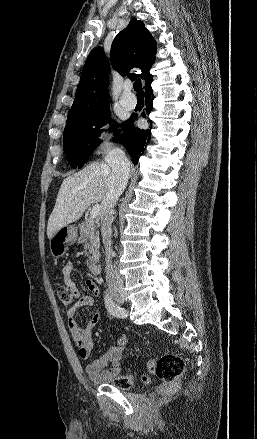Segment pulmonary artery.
<instances>
[{
  "label": "pulmonary artery",
  "instance_id": "1",
  "mask_svg": "<svg viewBox=\"0 0 257 439\" xmlns=\"http://www.w3.org/2000/svg\"><path fill=\"white\" fill-rule=\"evenodd\" d=\"M119 102L127 109H133L136 106V97L130 92L129 85L123 86Z\"/></svg>",
  "mask_w": 257,
  "mask_h": 439
}]
</instances>
